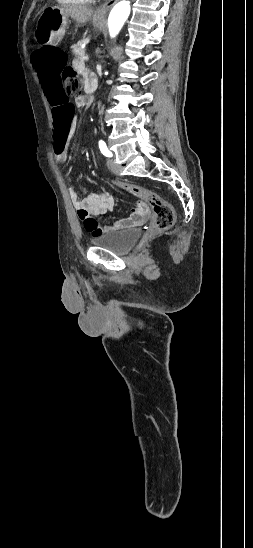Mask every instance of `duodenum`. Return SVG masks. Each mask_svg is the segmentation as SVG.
Segmentation results:
<instances>
[{
    "instance_id": "duodenum-1",
    "label": "duodenum",
    "mask_w": 253,
    "mask_h": 548,
    "mask_svg": "<svg viewBox=\"0 0 253 548\" xmlns=\"http://www.w3.org/2000/svg\"><path fill=\"white\" fill-rule=\"evenodd\" d=\"M97 88V79L95 76H89L85 80L84 89L87 95L91 96Z\"/></svg>"
}]
</instances>
